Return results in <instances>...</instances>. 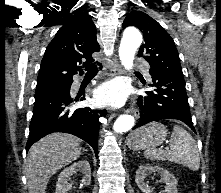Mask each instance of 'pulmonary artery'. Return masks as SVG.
Wrapping results in <instances>:
<instances>
[{
    "mask_svg": "<svg viewBox=\"0 0 221 193\" xmlns=\"http://www.w3.org/2000/svg\"><path fill=\"white\" fill-rule=\"evenodd\" d=\"M136 63L140 65V68L142 69L143 73H144L146 76L149 77V76H150V74H149V65L143 63L142 60H137Z\"/></svg>",
    "mask_w": 221,
    "mask_h": 193,
    "instance_id": "pulmonary-artery-1",
    "label": "pulmonary artery"
}]
</instances>
